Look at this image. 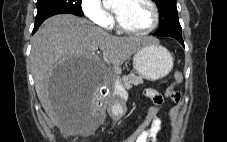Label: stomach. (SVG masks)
I'll list each match as a JSON object with an SVG mask.
<instances>
[{"label": "stomach", "mask_w": 227, "mask_h": 142, "mask_svg": "<svg viewBox=\"0 0 227 142\" xmlns=\"http://www.w3.org/2000/svg\"><path fill=\"white\" fill-rule=\"evenodd\" d=\"M133 68L146 80L157 81L169 74L173 68L171 53L158 42H149L133 55ZM126 112V104L120 100L111 109L114 117H121Z\"/></svg>", "instance_id": "stomach-1"}]
</instances>
